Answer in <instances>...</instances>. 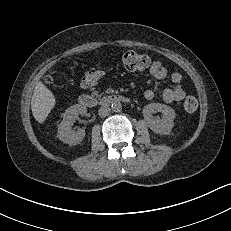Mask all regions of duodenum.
<instances>
[{
	"mask_svg": "<svg viewBox=\"0 0 231 231\" xmlns=\"http://www.w3.org/2000/svg\"><path fill=\"white\" fill-rule=\"evenodd\" d=\"M78 102L81 106L84 107H94L96 105H109L115 102L129 103L130 99L126 96L119 94L107 95L101 99H97L89 94H82L79 97Z\"/></svg>",
	"mask_w": 231,
	"mask_h": 231,
	"instance_id": "1",
	"label": "duodenum"
}]
</instances>
